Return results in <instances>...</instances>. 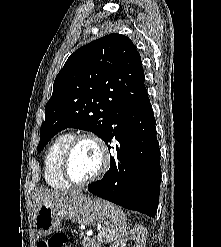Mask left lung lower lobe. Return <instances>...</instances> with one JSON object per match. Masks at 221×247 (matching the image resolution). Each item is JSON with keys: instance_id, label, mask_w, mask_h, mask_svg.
Segmentation results:
<instances>
[{"instance_id": "1", "label": "left lung lower lobe", "mask_w": 221, "mask_h": 247, "mask_svg": "<svg viewBox=\"0 0 221 247\" xmlns=\"http://www.w3.org/2000/svg\"><path fill=\"white\" fill-rule=\"evenodd\" d=\"M150 100L119 111L110 121L105 143L117 140L110 168L88 190L129 210L154 217L160 192V150ZM108 148H113L107 145Z\"/></svg>"}]
</instances>
